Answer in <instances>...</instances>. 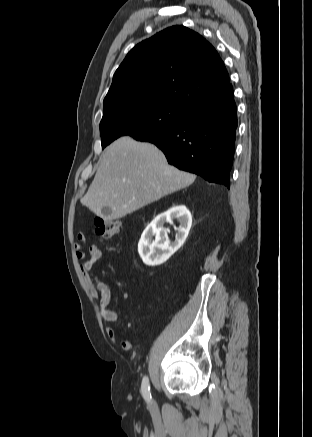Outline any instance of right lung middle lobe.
<instances>
[{
	"mask_svg": "<svg viewBox=\"0 0 312 437\" xmlns=\"http://www.w3.org/2000/svg\"><path fill=\"white\" fill-rule=\"evenodd\" d=\"M187 115V109L161 102L120 106L103 115L100 123L102 148L124 135L140 141L159 136L177 127Z\"/></svg>",
	"mask_w": 312,
	"mask_h": 437,
	"instance_id": "right-lung-middle-lobe-1",
	"label": "right lung middle lobe"
}]
</instances>
